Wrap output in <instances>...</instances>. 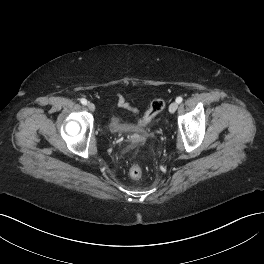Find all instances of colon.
I'll return each instance as SVG.
<instances>
[{
	"label": "colon",
	"instance_id": "obj_1",
	"mask_svg": "<svg viewBox=\"0 0 264 264\" xmlns=\"http://www.w3.org/2000/svg\"><path fill=\"white\" fill-rule=\"evenodd\" d=\"M165 107V102L162 99H156L154 100L146 113L144 114L142 120L140 121V124L146 125L150 123L155 116H157ZM129 175L133 179H139L143 175V169L140 165L134 164L129 169Z\"/></svg>",
	"mask_w": 264,
	"mask_h": 264
}]
</instances>
